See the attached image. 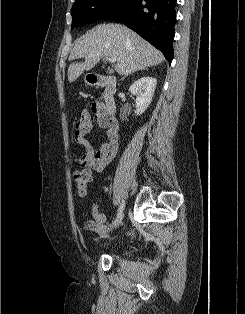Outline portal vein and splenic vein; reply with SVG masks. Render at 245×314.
<instances>
[{
    "label": "portal vein and splenic vein",
    "instance_id": "18ae733b",
    "mask_svg": "<svg viewBox=\"0 0 245 314\" xmlns=\"http://www.w3.org/2000/svg\"><path fill=\"white\" fill-rule=\"evenodd\" d=\"M107 61L111 62V63H115L117 61L116 57H106Z\"/></svg>",
    "mask_w": 245,
    "mask_h": 314
}]
</instances>
